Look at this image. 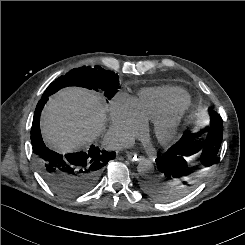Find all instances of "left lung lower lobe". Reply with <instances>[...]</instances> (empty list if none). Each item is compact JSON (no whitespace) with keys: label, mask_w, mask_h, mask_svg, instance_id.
<instances>
[{"label":"left lung lower lobe","mask_w":245,"mask_h":245,"mask_svg":"<svg viewBox=\"0 0 245 245\" xmlns=\"http://www.w3.org/2000/svg\"><path fill=\"white\" fill-rule=\"evenodd\" d=\"M210 125L205 130L186 132L181 139L171 146L167 152L158 156L156 164L161 180L167 182L164 187L148 183L145 190L157 198L166 199L179 194L193 185L194 175L186 158L192 153L201 152L197 161L198 168L210 167L215 164L223 137V121L214 110L209 111Z\"/></svg>","instance_id":"0a47b994"}]
</instances>
